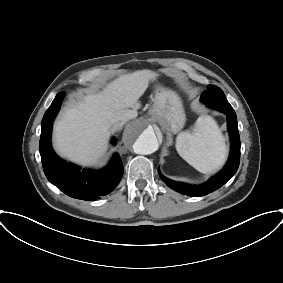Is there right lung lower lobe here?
I'll list each match as a JSON object with an SVG mask.
<instances>
[{"label":"right lung lower lobe","mask_w":283,"mask_h":283,"mask_svg":"<svg viewBox=\"0 0 283 283\" xmlns=\"http://www.w3.org/2000/svg\"><path fill=\"white\" fill-rule=\"evenodd\" d=\"M64 93L56 95L42 119L39 151L44 173L47 179L66 195L93 201L115 189L123 175V165L115 154L110 165L98 172L83 170L60 159L51 147L53 121L59 112Z\"/></svg>","instance_id":"98d812e1"}]
</instances>
